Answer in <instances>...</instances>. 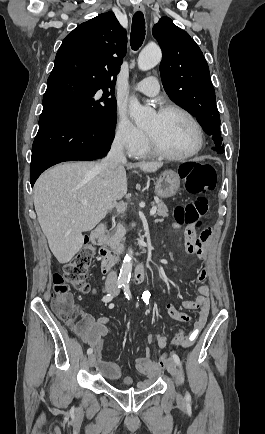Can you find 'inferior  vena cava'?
<instances>
[{"instance_id":"602c4592","label":"inferior vena cava","mask_w":265,"mask_h":434,"mask_svg":"<svg viewBox=\"0 0 265 434\" xmlns=\"http://www.w3.org/2000/svg\"><path fill=\"white\" fill-rule=\"evenodd\" d=\"M123 142L122 140H119V138H115L111 150L109 154H107L106 158L100 162L99 170H101V174H104V176H107L109 170H113V168H117L119 164H126L127 160L124 156L123 152ZM107 282H110V284H117V274L116 272H109L107 276Z\"/></svg>"}]
</instances>
